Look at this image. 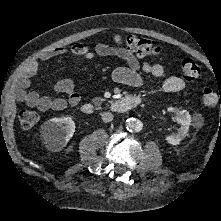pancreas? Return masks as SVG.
I'll list each match as a JSON object with an SVG mask.
<instances>
[{
    "label": "pancreas",
    "instance_id": "cf45deb5",
    "mask_svg": "<svg viewBox=\"0 0 221 221\" xmlns=\"http://www.w3.org/2000/svg\"><path fill=\"white\" fill-rule=\"evenodd\" d=\"M104 101H105V99H104V98H100V97H95V98L93 99L94 105H96V106H98V107H100L101 104H102Z\"/></svg>",
    "mask_w": 221,
    "mask_h": 221
}]
</instances>
